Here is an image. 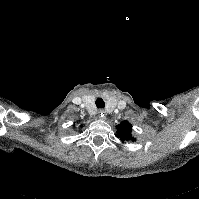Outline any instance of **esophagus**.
<instances>
[{
    "label": "esophagus",
    "mask_w": 199,
    "mask_h": 199,
    "mask_svg": "<svg viewBox=\"0 0 199 199\" xmlns=\"http://www.w3.org/2000/svg\"><path fill=\"white\" fill-rule=\"evenodd\" d=\"M104 113H105L104 111H100V112H99V117L105 119L106 116H105Z\"/></svg>",
    "instance_id": "esophagus-1"
}]
</instances>
